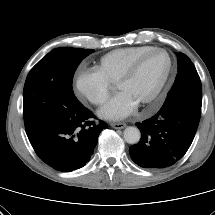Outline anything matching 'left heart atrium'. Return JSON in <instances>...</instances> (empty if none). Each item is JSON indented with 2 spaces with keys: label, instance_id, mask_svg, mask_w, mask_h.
Returning <instances> with one entry per match:
<instances>
[{
  "label": "left heart atrium",
  "instance_id": "39dd6f15",
  "mask_svg": "<svg viewBox=\"0 0 215 215\" xmlns=\"http://www.w3.org/2000/svg\"><path fill=\"white\" fill-rule=\"evenodd\" d=\"M137 104L124 92L116 94L98 112L101 118L107 120H121L131 115Z\"/></svg>",
  "mask_w": 215,
  "mask_h": 215
}]
</instances>
